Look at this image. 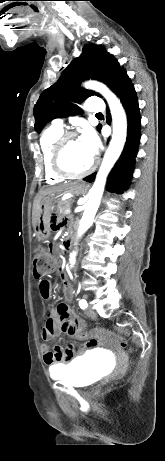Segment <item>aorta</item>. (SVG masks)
I'll return each instance as SVG.
<instances>
[{
	"mask_svg": "<svg viewBox=\"0 0 165 461\" xmlns=\"http://www.w3.org/2000/svg\"><path fill=\"white\" fill-rule=\"evenodd\" d=\"M84 87L99 92L108 102L112 116L113 134L93 187L90 190L89 200L84 206V213L78 228V236L84 234L94 221L104 192L107 176L123 150L127 135L126 114L116 95L106 85L97 81H87L84 83ZM75 262L76 252H72L69 259L70 267H73Z\"/></svg>",
	"mask_w": 165,
	"mask_h": 461,
	"instance_id": "762f6f07",
	"label": "aorta"
}]
</instances>
